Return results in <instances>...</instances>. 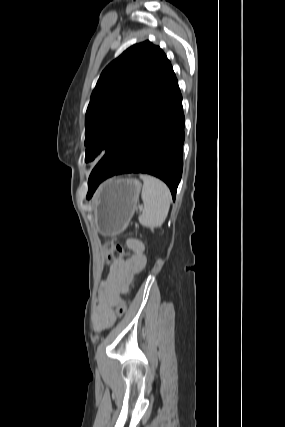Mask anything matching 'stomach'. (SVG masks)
<instances>
[{
    "label": "stomach",
    "instance_id": "0dacf381",
    "mask_svg": "<svg viewBox=\"0 0 285 427\" xmlns=\"http://www.w3.org/2000/svg\"><path fill=\"white\" fill-rule=\"evenodd\" d=\"M141 187L132 178H113L101 185L93 201L94 221L100 234L116 236L125 230L135 212Z\"/></svg>",
    "mask_w": 285,
    "mask_h": 427
}]
</instances>
